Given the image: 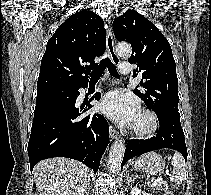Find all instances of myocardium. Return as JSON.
<instances>
[{
	"instance_id": "f54148a6",
	"label": "myocardium",
	"mask_w": 211,
	"mask_h": 195,
	"mask_svg": "<svg viewBox=\"0 0 211 195\" xmlns=\"http://www.w3.org/2000/svg\"><path fill=\"white\" fill-rule=\"evenodd\" d=\"M138 116L147 118L148 124L145 127H138L134 123L131 125V132L139 138H147L154 135L159 127L160 120L157 114L150 109H143L139 111Z\"/></svg>"
}]
</instances>
